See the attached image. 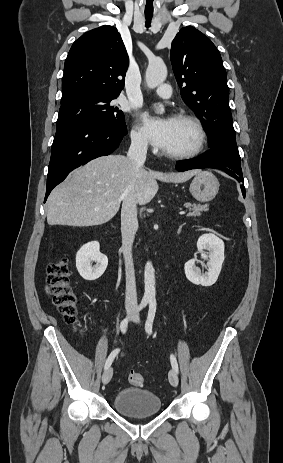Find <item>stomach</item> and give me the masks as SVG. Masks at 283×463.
I'll return each instance as SVG.
<instances>
[{"label": "stomach", "mask_w": 283, "mask_h": 463, "mask_svg": "<svg viewBox=\"0 0 283 463\" xmlns=\"http://www.w3.org/2000/svg\"><path fill=\"white\" fill-rule=\"evenodd\" d=\"M219 181L210 171H201L192 180L189 191L200 202L211 201L218 193Z\"/></svg>", "instance_id": "1"}]
</instances>
